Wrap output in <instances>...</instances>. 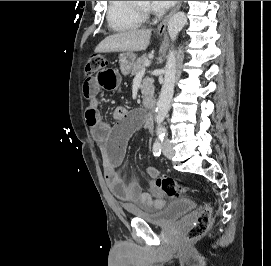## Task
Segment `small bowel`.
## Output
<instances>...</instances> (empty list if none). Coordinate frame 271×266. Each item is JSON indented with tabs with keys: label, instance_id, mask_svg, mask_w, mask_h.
I'll return each instance as SVG.
<instances>
[{
	"label": "small bowel",
	"instance_id": "obj_1",
	"mask_svg": "<svg viewBox=\"0 0 271 266\" xmlns=\"http://www.w3.org/2000/svg\"><path fill=\"white\" fill-rule=\"evenodd\" d=\"M120 77L119 69L107 63L85 80L83 94L88 100L86 123L94 140L104 149L103 168L110 191L127 205L146 210L160 209L165 206L166 200L152 180L140 185L134 179H124L118 170L130 136L141 125V116L136 111L130 112L124 107H117L113 113L117 123L111 127L102 119L99 111L100 91L116 89ZM148 173L152 178L159 175V171L153 166L148 167Z\"/></svg>",
	"mask_w": 271,
	"mask_h": 266
}]
</instances>
